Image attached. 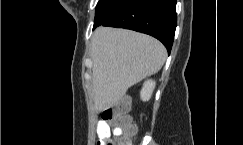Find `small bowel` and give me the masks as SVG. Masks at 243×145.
Here are the masks:
<instances>
[{"label":"small bowel","mask_w":243,"mask_h":145,"mask_svg":"<svg viewBox=\"0 0 243 145\" xmlns=\"http://www.w3.org/2000/svg\"><path fill=\"white\" fill-rule=\"evenodd\" d=\"M119 136L121 135V131L118 128H111V125L107 121H99L97 124V142L96 145H103L101 144L105 139H111V136ZM132 145V144H130Z\"/></svg>","instance_id":"obj_1"}]
</instances>
